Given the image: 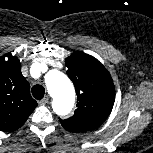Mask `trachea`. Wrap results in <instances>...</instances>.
Instances as JSON below:
<instances>
[{"mask_svg":"<svg viewBox=\"0 0 153 153\" xmlns=\"http://www.w3.org/2000/svg\"><path fill=\"white\" fill-rule=\"evenodd\" d=\"M31 91L33 97L37 100H41L44 97L45 88L42 85H34Z\"/></svg>","mask_w":153,"mask_h":153,"instance_id":"3493384b","label":"trachea"}]
</instances>
